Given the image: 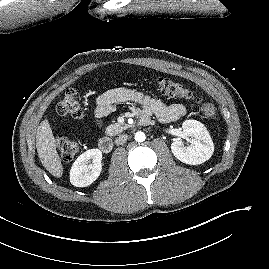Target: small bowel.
<instances>
[{"mask_svg":"<svg viewBox=\"0 0 269 269\" xmlns=\"http://www.w3.org/2000/svg\"><path fill=\"white\" fill-rule=\"evenodd\" d=\"M123 102H135L141 105L140 123L149 124L152 117L160 122L176 121L184 116L186 108L181 103L165 105L161 101L145 95L139 91L118 88L109 90L100 95L96 101L95 119L101 124L103 119L110 114L116 105Z\"/></svg>","mask_w":269,"mask_h":269,"instance_id":"1","label":"small bowel"}]
</instances>
